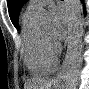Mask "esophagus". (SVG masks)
<instances>
[{"mask_svg":"<svg viewBox=\"0 0 89 89\" xmlns=\"http://www.w3.org/2000/svg\"><path fill=\"white\" fill-rule=\"evenodd\" d=\"M67 56L65 57L61 67L59 68V70L57 71L56 75H55V79L56 80H60L62 78V75L65 71V68H66V63H67Z\"/></svg>","mask_w":89,"mask_h":89,"instance_id":"34e87169","label":"esophagus"}]
</instances>
